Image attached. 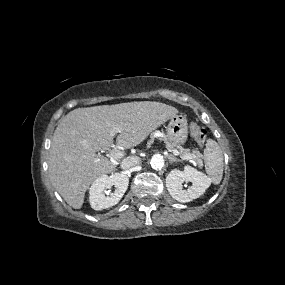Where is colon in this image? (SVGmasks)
Masks as SVG:
<instances>
[{
  "label": "colon",
  "mask_w": 285,
  "mask_h": 285,
  "mask_svg": "<svg viewBox=\"0 0 285 285\" xmlns=\"http://www.w3.org/2000/svg\"><path fill=\"white\" fill-rule=\"evenodd\" d=\"M190 133L199 144H203L207 137V131L193 122L190 124Z\"/></svg>",
  "instance_id": "1"
}]
</instances>
